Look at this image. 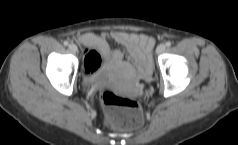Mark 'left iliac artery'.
Listing matches in <instances>:
<instances>
[{
	"label": "left iliac artery",
	"mask_w": 238,
	"mask_h": 145,
	"mask_svg": "<svg viewBox=\"0 0 238 145\" xmlns=\"http://www.w3.org/2000/svg\"><path fill=\"white\" fill-rule=\"evenodd\" d=\"M171 45H172V42H171V41H167V42H166V46H167V47H170Z\"/></svg>",
	"instance_id": "1"
}]
</instances>
